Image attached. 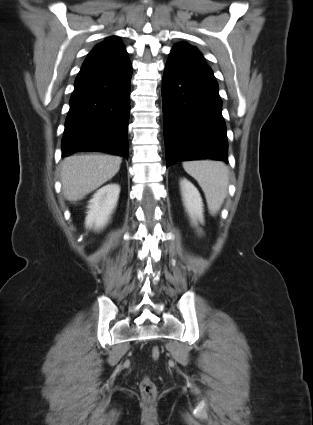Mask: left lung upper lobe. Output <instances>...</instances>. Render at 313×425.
<instances>
[{
  "mask_svg": "<svg viewBox=\"0 0 313 425\" xmlns=\"http://www.w3.org/2000/svg\"><path fill=\"white\" fill-rule=\"evenodd\" d=\"M170 56L179 57L182 60L194 64L203 66L211 69L205 62L203 55L198 51L196 47L189 45L188 43H177L171 50Z\"/></svg>",
  "mask_w": 313,
  "mask_h": 425,
  "instance_id": "obj_1",
  "label": "left lung upper lobe"
}]
</instances>
